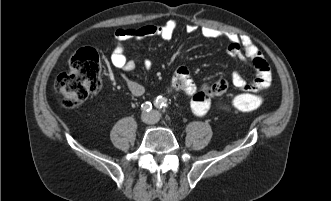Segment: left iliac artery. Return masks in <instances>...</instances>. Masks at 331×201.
Masks as SVG:
<instances>
[{
  "label": "left iliac artery",
  "instance_id": "obj_1",
  "mask_svg": "<svg viewBox=\"0 0 331 201\" xmlns=\"http://www.w3.org/2000/svg\"><path fill=\"white\" fill-rule=\"evenodd\" d=\"M155 105L157 108L165 109L168 106L167 99L162 96H158L155 100Z\"/></svg>",
  "mask_w": 331,
  "mask_h": 201
}]
</instances>
